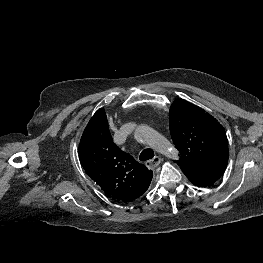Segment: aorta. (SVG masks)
I'll return each mask as SVG.
<instances>
[{
	"mask_svg": "<svg viewBox=\"0 0 263 263\" xmlns=\"http://www.w3.org/2000/svg\"><path fill=\"white\" fill-rule=\"evenodd\" d=\"M136 138H139L143 141H146L150 144H152L155 148L158 150H163V152L171 157V158H177V152L174 149H171V151H168L169 144L167 141L162 138L160 135H158L154 130H152L148 126H140L137 128L135 132Z\"/></svg>",
	"mask_w": 263,
	"mask_h": 263,
	"instance_id": "1",
	"label": "aorta"
}]
</instances>
